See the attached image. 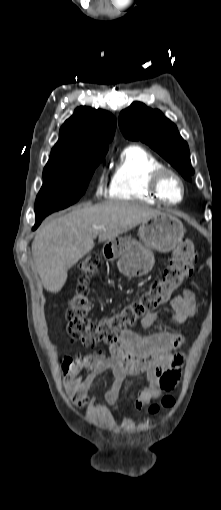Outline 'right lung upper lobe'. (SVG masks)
<instances>
[{"label":"right lung upper lobe","mask_w":221,"mask_h":510,"mask_svg":"<svg viewBox=\"0 0 221 510\" xmlns=\"http://www.w3.org/2000/svg\"><path fill=\"white\" fill-rule=\"evenodd\" d=\"M116 119L107 111L78 107L60 129V138L49 161L108 150L114 136Z\"/></svg>","instance_id":"cb5924a9"}]
</instances>
